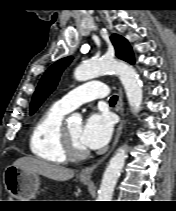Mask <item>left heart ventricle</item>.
<instances>
[{"label":"left heart ventricle","instance_id":"obj_1","mask_svg":"<svg viewBox=\"0 0 176 211\" xmlns=\"http://www.w3.org/2000/svg\"><path fill=\"white\" fill-rule=\"evenodd\" d=\"M67 130H68V133H69L74 145L79 149H86L80 141L82 126L80 124H76V123L68 124Z\"/></svg>","mask_w":176,"mask_h":211}]
</instances>
